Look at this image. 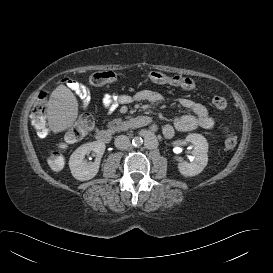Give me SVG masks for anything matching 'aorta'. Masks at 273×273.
Instances as JSON below:
<instances>
[{"label":"aorta","mask_w":273,"mask_h":273,"mask_svg":"<svg viewBox=\"0 0 273 273\" xmlns=\"http://www.w3.org/2000/svg\"><path fill=\"white\" fill-rule=\"evenodd\" d=\"M143 140L141 137H135L133 140H132V144L134 146H140L142 144Z\"/></svg>","instance_id":"762f6f07"}]
</instances>
